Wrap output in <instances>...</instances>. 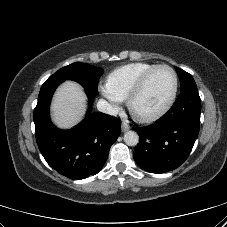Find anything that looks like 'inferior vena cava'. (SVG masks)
I'll return each mask as SVG.
<instances>
[{"mask_svg": "<svg viewBox=\"0 0 227 227\" xmlns=\"http://www.w3.org/2000/svg\"><path fill=\"white\" fill-rule=\"evenodd\" d=\"M97 108L99 111L115 116L117 114V110L106 100L100 99L97 103Z\"/></svg>", "mask_w": 227, "mask_h": 227, "instance_id": "inferior-vena-cava-1", "label": "inferior vena cava"}]
</instances>
